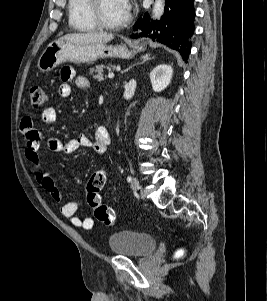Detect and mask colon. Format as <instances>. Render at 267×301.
<instances>
[{
  "label": "colon",
  "mask_w": 267,
  "mask_h": 301,
  "mask_svg": "<svg viewBox=\"0 0 267 301\" xmlns=\"http://www.w3.org/2000/svg\"><path fill=\"white\" fill-rule=\"evenodd\" d=\"M30 101L33 107L43 106L48 101L45 90L39 85H33L29 89ZM107 173L105 170L94 172L87 184V201L93 209L97 220L107 226H112L116 222V215L112 208L104 204L101 200L100 192L106 182ZM179 252L178 255H181Z\"/></svg>",
  "instance_id": "obj_1"
}]
</instances>
